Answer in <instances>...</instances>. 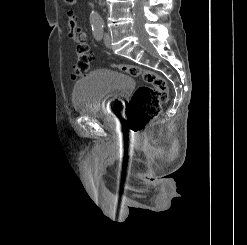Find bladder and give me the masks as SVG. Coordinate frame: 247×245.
I'll list each match as a JSON object with an SVG mask.
<instances>
[{"instance_id":"bladder-1","label":"bladder","mask_w":247,"mask_h":245,"mask_svg":"<svg viewBox=\"0 0 247 245\" xmlns=\"http://www.w3.org/2000/svg\"><path fill=\"white\" fill-rule=\"evenodd\" d=\"M134 86V80L124 73L94 70L74 84L73 108L82 116L100 117L109 111L114 113Z\"/></svg>"}]
</instances>
